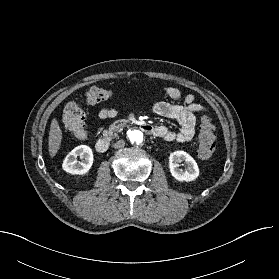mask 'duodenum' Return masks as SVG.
I'll list each match as a JSON object with an SVG mask.
<instances>
[{"instance_id": "obj_1", "label": "duodenum", "mask_w": 279, "mask_h": 279, "mask_svg": "<svg viewBox=\"0 0 279 279\" xmlns=\"http://www.w3.org/2000/svg\"><path fill=\"white\" fill-rule=\"evenodd\" d=\"M140 128L143 132L147 134L154 135L156 133V128L153 127L151 124L146 122H141ZM110 141L107 138H100L97 140L95 147L99 153H104L109 149Z\"/></svg>"}]
</instances>
